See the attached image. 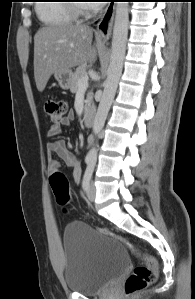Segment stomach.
<instances>
[{
    "label": "stomach",
    "mask_w": 195,
    "mask_h": 299,
    "mask_svg": "<svg viewBox=\"0 0 195 299\" xmlns=\"http://www.w3.org/2000/svg\"><path fill=\"white\" fill-rule=\"evenodd\" d=\"M73 73L71 70L65 72H58L54 74L56 81L58 82L59 86L67 90L71 86Z\"/></svg>",
    "instance_id": "1"
}]
</instances>
